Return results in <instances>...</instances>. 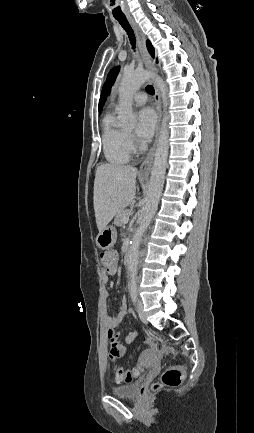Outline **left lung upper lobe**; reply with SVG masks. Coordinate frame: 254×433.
Wrapping results in <instances>:
<instances>
[{
  "label": "left lung upper lobe",
  "instance_id": "obj_1",
  "mask_svg": "<svg viewBox=\"0 0 254 433\" xmlns=\"http://www.w3.org/2000/svg\"><path fill=\"white\" fill-rule=\"evenodd\" d=\"M147 47L152 56H154V48L152 47L151 43L147 41ZM118 67H114L108 74L107 83L104 85L102 95L99 101V111L102 109V105L104 101L106 100L107 95L110 93V88L115 81V78L118 74Z\"/></svg>",
  "mask_w": 254,
  "mask_h": 433
}]
</instances>
